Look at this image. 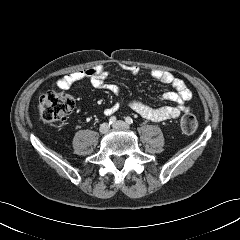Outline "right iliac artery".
<instances>
[{
	"instance_id": "obj_1",
	"label": "right iliac artery",
	"mask_w": 240,
	"mask_h": 240,
	"mask_svg": "<svg viewBox=\"0 0 240 240\" xmlns=\"http://www.w3.org/2000/svg\"><path fill=\"white\" fill-rule=\"evenodd\" d=\"M115 122H116V117L115 116L110 117L109 124H114Z\"/></svg>"
}]
</instances>
